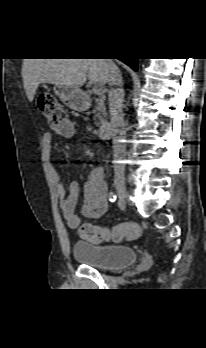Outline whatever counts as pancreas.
Segmentation results:
<instances>
[{
    "label": "pancreas",
    "instance_id": "obj_1",
    "mask_svg": "<svg viewBox=\"0 0 206 348\" xmlns=\"http://www.w3.org/2000/svg\"><path fill=\"white\" fill-rule=\"evenodd\" d=\"M107 118L106 107L104 104V98L97 100V105L94 110V120L95 125L99 126L101 123L105 122Z\"/></svg>",
    "mask_w": 206,
    "mask_h": 348
}]
</instances>
